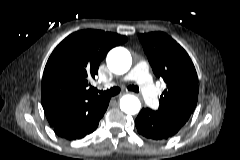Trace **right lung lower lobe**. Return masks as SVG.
<instances>
[{
	"instance_id": "obj_1",
	"label": "right lung lower lobe",
	"mask_w": 240,
	"mask_h": 160,
	"mask_svg": "<svg viewBox=\"0 0 240 160\" xmlns=\"http://www.w3.org/2000/svg\"><path fill=\"white\" fill-rule=\"evenodd\" d=\"M110 98L95 101L79 113L67 115L56 125L54 132L67 140L80 139L93 132L109 105Z\"/></svg>"
}]
</instances>
